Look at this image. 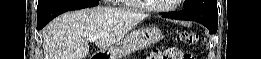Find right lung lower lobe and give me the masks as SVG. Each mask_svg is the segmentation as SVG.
I'll use <instances>...</instances> for the list:
<instances>
[{"label":"right lung lower lobe","instance_id":"98d812e1","mask_svg":"<svg viewBox=\"0 0 261 59\" xmlns=\"http://www.w3.org/2000/svg\"><path fill=\"white\" fill-rule=\"evenodd\" d=\"M98 4V0H56L40 12H37V29H42L53 18L64 12L93 7Z\"/></svg>","mask_w":261,"mask_h":59}]
</instances>
